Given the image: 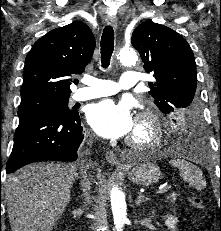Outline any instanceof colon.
Here are the masks:
<instances>
[{
    "mask_svg": "<svg viewBox=\"0 0 221 231\" xmlns=\"http://www.w3.org/2000/svg\"><path fill=\"white\" fill-rule=\"evenodd\" d=\"M190 204L201 212H206V206L204 201L198 196H192L189 198Z\"/></svg>",
    "mask_w": 221,
    "mask_h": 231,
    "instance_id": "obj_1",
    "label": "colon"
}]
</instances>
